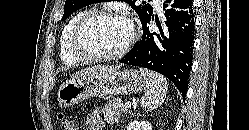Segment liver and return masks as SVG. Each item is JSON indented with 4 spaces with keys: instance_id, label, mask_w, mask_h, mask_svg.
I'll return each instance as SVG.
<instances>
[{
    "instance_id": "liver-1",
    "label": "liver",
    "mask_w": 249,
    "mask_h": 130,
    "mask_svg": "<svg viewBox=\"0 0 249 130\" xmlns=\"http://www.w3.org/2000/svg\"><path fill=\"white\" fill-rule=\"evenodd\" d=\"M120 66H92L88 67L86 69H83L81 71H78L72 75L73 78H79L84 75H91V74H97V73H105V72H113L117 69H119Z\"/></svg>"
}]
</instances>
